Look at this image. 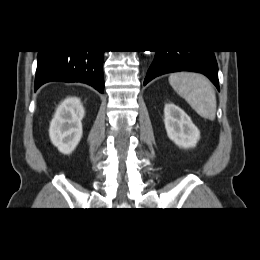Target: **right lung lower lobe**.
<instances>
[{
  "mask_svg": "<svg viewBox=\"0 0 260 260\" xmlns=\"http://www.w3.org/2000/svg\"><path fill=\"white\" fill-rule=\"evenodd\" d=\"M104 51H38L35 91L51 81L82 82L104 91Z\"/></svg>",
  "mask_w": 260,
  "mask_h": 260,
  "instance_id": "right-lung-lower-lobe-1",
  "label": "right lung lower lobe"
}]
</instances>
